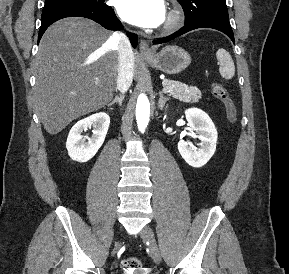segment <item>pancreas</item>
Listing matches in <instances>:
<instances>
[{
    "instance_id": "1",
    "label": "pancreas",
    "mask_w": 289,
    "mask_h": 274,
    "mask_svg": "<svg viewBox=\"0 0 289 274\" xmlns=\"http://www.w3.org/2000/svg\"><path fill=\"white\" fill-rule=\"evenodd\" d=\"M163 87H168L171 91L169 96L185 103H196L202 98L201 91L197 87L188 86L178 81L169 79L163 80Z\"/></svg>"
}]
</instances>
